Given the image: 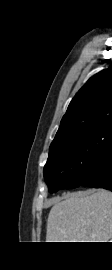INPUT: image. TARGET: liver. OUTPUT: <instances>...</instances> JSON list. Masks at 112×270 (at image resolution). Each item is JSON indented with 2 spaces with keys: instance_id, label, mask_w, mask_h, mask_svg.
<instances>
[{
  "instance_id": "liver-1",
  "label": "liver",
  "mask_w": 112,
  "mask_h": 270,
  "mask_svg": "<svg viewBox=\"0 0 112 270\" xmlns=\"http://www.w3.org/2000/svg\"><path fill=\"white\" fill-rule=\"evenodd\" d=\"M112 238V192L85 191L57 201L47 220L46 242H107Z\"/></svg>"
}]
</instances>
